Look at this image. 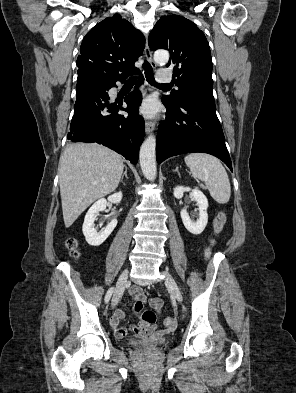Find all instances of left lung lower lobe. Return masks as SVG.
Listing matches in <instances>:
<instances>
[{
  "instance_id": "0a47b994",
  "label": "left lung lower lobe",
  "mask_w": 296,
  "mask_h": 393,
  "mask_svg": "<svg viewBox=\"0 0 296 393\" xmlns=\"http://www.w3.org/2000/svg\"><path fill=\"white\" fill-rule=\"evenodd\" d=\"M164 105L167 114L158 128V163L183 153L203 152L218 157L232 171L214 98L198 95L182 99L175 107Z\"/></svg>"
}]
</instances>
